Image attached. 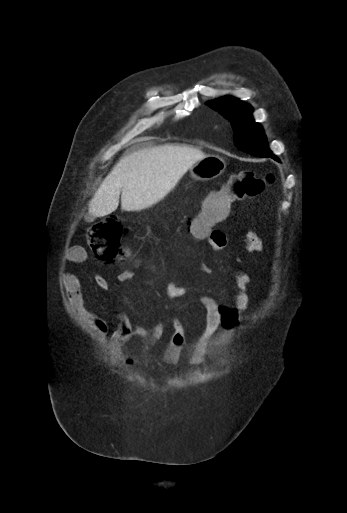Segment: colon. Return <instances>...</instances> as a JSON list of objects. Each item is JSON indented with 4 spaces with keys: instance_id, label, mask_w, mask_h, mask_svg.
Instances as JSON below:
<instances>
[{
    "instance_id": "colon-1",
    "label": "colon",
    "mask_w": 347,
    "mask_h": 513,
    "mask_svg": "<svg viewBox=\"0 0 347 513\" xmlns=\"http://www.w3.org/2000/svg\"><path fill=\"white\" fill-rule=\"evenodd\" d=\"M272 181L271 175L258 177L250 170L233 174L219 190L205 197L199 215L190 222V235L195 238L205 236L230 215L234 203L258 196ZM125 235L122 223L112 217L93 224L87 230L91 248L98 259L108 263L126 258Z\"/></svg>"
}]
</instances>
